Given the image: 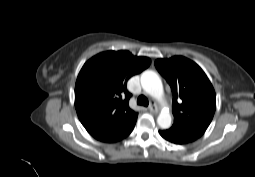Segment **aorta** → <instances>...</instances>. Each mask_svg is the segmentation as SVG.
<instances>
[{
    "mask_svg": "<svg viewBox=\"0 0 255 177\" xmlns=\"http://www.w3.org/2000/svg\"><path fill=\"white\" fill-rule=\"evenodd\" d=\"M141 85L146 93L158 101L163 99L164 89L162 81L157 73L151 70L144 71L141 75ZM157 124L167 129L171 126V115L169 111H162L158 118Z\"/></svg>",
    "mask_w": 255,
    "mask_h": 177,
    "instance_id": "aorta-1",
    "label": "aorta"
}]
</instances>
